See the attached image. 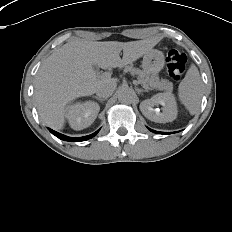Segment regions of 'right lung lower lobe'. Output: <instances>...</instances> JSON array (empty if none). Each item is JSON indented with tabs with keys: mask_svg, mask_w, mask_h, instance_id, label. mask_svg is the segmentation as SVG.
<instances>
[{
	"mask_svg": "<svg viewBox=\"0 0 232 232\" xmlns=\"http://www.w3.org/2000/svg\"><path fill=\"white\" fill-rule=\"evenodd\" d=\"M50 132L55 135L56 137H58L59 139L61 140H65V141H72V142H77V141H85V140H88L92 137H94L98 131H96L95 133L91 134V135H88V136H84V137H78V138H73V137H68V136H65L63 134H60L52 129H49Z\"/></svg>",
	"mask_w": 232,
	"mask_h": 232,
	"instance_id": "obj_1",
	"label": "right lung lower lobe"
}]
</instances>
